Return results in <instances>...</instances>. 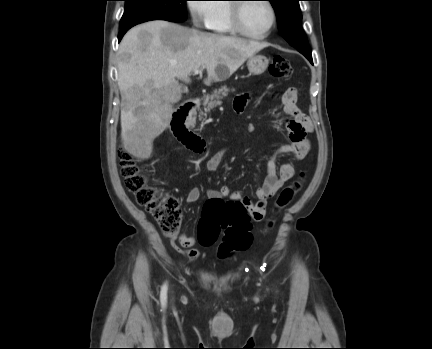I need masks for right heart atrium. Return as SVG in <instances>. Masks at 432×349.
<instances>
[{"mask_svg":"<svg viewBox=\"0 0 432 349\" xmlns=\"http://www.w3.org/2000/svg\"><path fill=\"white\" fill-rule=\"evenodd\" d=\"M187 8L192 23L197 27L206 25L211 12V3L209 0H188Z\"/></svg>","mask_w":432,"mask_h":349,"instance_id":"1","label":"right heart atrium"}]
</instances>
